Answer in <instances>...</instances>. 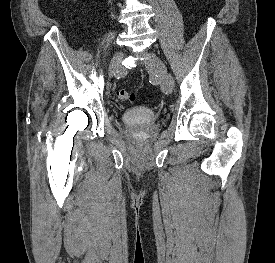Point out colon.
<instances>
[{"label":"colon","instance_id":"1","mask_svg":"<svg viewBox=\"0 0 275 263\" xmlns=\"http://www.w3.org/2000/svg\"><path fill=\"white\" fill-rule=\"evenodd\" d=\"M118 98L123 101H132L135 99L134 94L129 93L127 90L121 89L118 91Z\"/></svg>","mask_w":275,"mask_h":263}]
</instances>
